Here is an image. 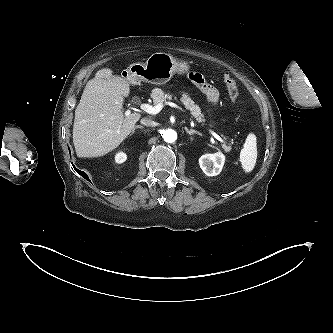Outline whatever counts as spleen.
Listing matches in <instances>:
<instances>
[{
    "label": "spleen",
    "mask_w": 333,
    "mask_h": 333,
    "mask_svg": "<svg viewBox=\"0 0 333 333\" xmlns=\"http://www.w3.org/2000/svg\"><path fill=\"white\" fill-rule=\"evenodd\" d=\"M257 146L256 136L250 133L244 143L243 149L240 152V162L245 173H250L256 164Z\"/></svg>",
    "instance_id": "1"
}]
</instances>
